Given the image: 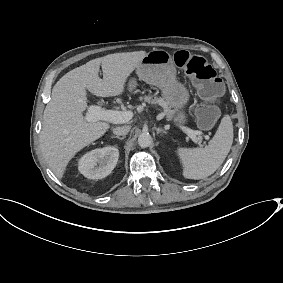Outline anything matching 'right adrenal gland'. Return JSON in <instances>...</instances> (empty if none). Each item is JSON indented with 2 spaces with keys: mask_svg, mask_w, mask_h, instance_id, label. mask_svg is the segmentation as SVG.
<instances>
[{
  "mask_svg": "<svg viewBox=\"0 0 283 283\" xmlns=\"http://www.w3.org/2000/svg\"><path fill=\"white\" fill-rule=\"evenodd\" d=\"M111 138L113 139V138H118V139H120V140H123V139H125L126 138V136H123V137H120V136H111Z\"/></svg>",
  "mask_w": 283,
  "mask_h": 283,
  "instance_id": "1",
  "label": "right adrenal gland"
}]
</instances>
